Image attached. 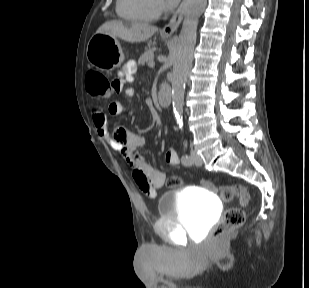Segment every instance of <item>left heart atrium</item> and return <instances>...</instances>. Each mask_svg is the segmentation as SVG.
<instances>
[{"instance_id": "obj_1", "label": "left heart atrium", "mask_w": 309, "mask_h": 288, "mask_svg": "<svg viewBox=\"0 0 309 288\" xmlns=\"http://www.w3.org/2000/svg\"><path fill=\"white\" fill-rule=\"evenodd\" d=\"M178 1H179V0H168V2H169L170 4H176V3H178Z\"/></svg>"}]
</instances>
